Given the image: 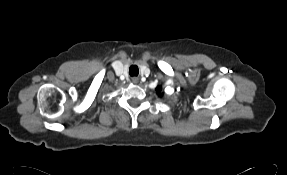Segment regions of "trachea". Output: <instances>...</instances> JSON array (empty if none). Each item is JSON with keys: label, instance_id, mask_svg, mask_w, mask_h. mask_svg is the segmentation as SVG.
Masks as SVG:
<instances>
[{"label": "trachea", "instance_id": "trachea-1", "mask_svg": "<svg viewBox=\"0 0 287 175\" xmlns=\"http://www.w3.org/2000/svg\"><path fill=\"white\" fill-rule=\"evenodd\" d=\"M129 73L131 76H137L139 73L138 67L137 66H131Z\"/></svg>", "mask_w": 287, "mask_h": 175}]
</instances>
